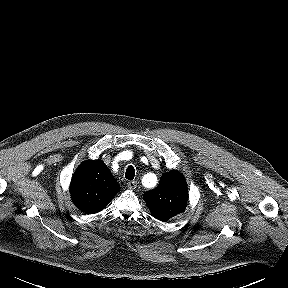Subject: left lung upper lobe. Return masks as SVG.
<instances>
[{
    "label": "left lung upper lobe",
    "mask_w": 288,
    "mask_h": 288,
    "mask_svg": "<svg viewBox=\"0 0 288 288\" xmlns=\"http://www.w3.org/2000/svg\"><path fill=\"white\" fill-rule=\"evenodd\" d=\"M188 198L184 177L177 171L164 173L159 185L144 194V200L153 216L166 221L181 213Z\"/></svg>",
    "instance_id": "5c2ea615"
}]
</instances>
